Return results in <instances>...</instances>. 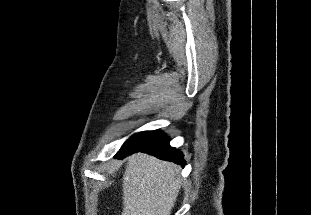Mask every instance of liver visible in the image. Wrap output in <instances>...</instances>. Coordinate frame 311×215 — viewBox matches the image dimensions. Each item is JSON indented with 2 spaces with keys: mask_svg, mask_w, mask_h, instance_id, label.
<instances>
[{
  "mask_svg": "<svg viewBox=\"0 0 311 215\" xmlns=\"http://www.w3.org/2000/svg\"><path fill=\"white\" fill-rule=\"evenodd\" d=\"M180 170L147 154L130 156L123 175L122 215H171L181 187Z\"/></svg>",
  "mask_w": 311,
  "mask_h": 215,
  "instance_id": "6515ba94",
  "label": "liver"
}]
</instances>
